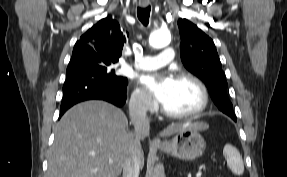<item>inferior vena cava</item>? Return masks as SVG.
Wrapping results in <instances>:
<instances>
[{
  "instance_id": "1",
  "label": "inferior vena cava",
  "mask_w": 287,
  "mask_h": 177,
  "mask_svg": "<svg viewBox=\"0 0 287 177\" xmlns=\"http://www.w3.org/2000/svg\"><path fill=\"white\" fill-rule=\"evenodd\" d=\"M130 118L134 125L135 144L123 166V177H139L142 156L140 140L147 137L150 131V121L147 117L145 100L130 107Z\"/></svg>"
}]
</instances>
